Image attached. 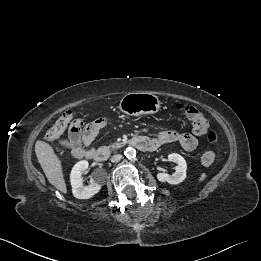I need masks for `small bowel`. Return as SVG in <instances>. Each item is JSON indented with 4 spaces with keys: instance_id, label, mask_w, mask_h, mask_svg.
I'll return each mask as SVG.
<instances>
[{
    "instance_id": "obj_1",
    "label": "small bowel",
    "mask_w": 261,
    "mask_h": 261,
    "mask_svg": "<svg viewBox=\"0 0 261 261\" xmlns=\"http://www.w3.org/2000/svg\"><path fill=\"white\" fill-rule=\"evenodd\" d=\"M105 122L104 119H98L88 124L85 127L81 138L77 141H70V143L67 144L72 157L80 159L85 156L87 151L95 150L91 147V143L98 131L104 126ZM147 139L155 144L157 148L165 144L178 143L185 152H192L198 146V140L193 135L189 133H177L170 130L162 131L157 136Z\"/></svg>"
}]
</instances>
